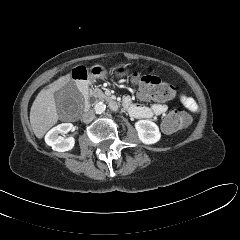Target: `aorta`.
Here are the masks:
<instances>
[{"mask_svg": "<svg viewBox=\"0 0 240 240\" xmlns=\"http://www.w3.org/2000/svg\"><path fill=\"white\" fill-rule=\"evenodd\" d=\"M94 110L97 114H102L106 110V105L103 102H98L95 104Z\"/></svg>", "mask_w": 240, "mask_h": 240, "instance_id": "1", "label": "aorta"}]
</instances>
